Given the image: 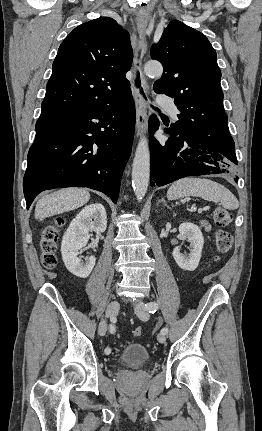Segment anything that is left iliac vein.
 Masks as SVG:
<instances>
[{
	"mask_svg": "<svg viewBox=\"0 0 262 431\" xmlns=\"http://www.w3.org/2000/svg\"><path fill=\"white\" fill-rule=\"evenodd\" d=\"M134 311L141 320L147 321L149 319V312L144 301L138 300L134 305ZM157 339L161 344L166 342V336L163 333H159Z\"/></svg>",
	"mask_w": 262,
	"mask_h": 431,
	"instance_id": "4c4485c4",
	"label": "left iliac vein"
}]
</instances>
